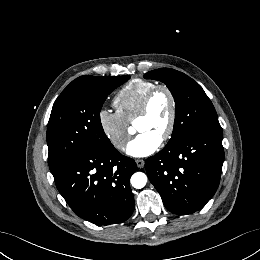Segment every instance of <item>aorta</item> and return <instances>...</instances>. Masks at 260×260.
<instances>
[{
    "label": "aorta",
    "mask_w": 260,
    "mask_h": 260,
    "mask_svg": "<svg viewBox=\"0 0 260 260\" xmlns=\"http://www.w3.org/2000/svg\"><path fill=\"white\" fill-rule=\"evenodd\" d=\"M147 176L142 172H136L131 177V185L136 189L143 188L147 183Z\"/></svg>",
    "instance_id": "762f6f07"
}]
</instances>
